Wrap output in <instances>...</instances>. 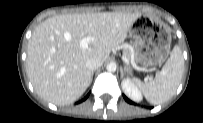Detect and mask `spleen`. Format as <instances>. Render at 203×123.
Wrapping results in <instances>:
<instances>
[{
    "label": "spleen",
    "mask_w": 203,
    "mask_h": 123,
    "mask_svg": "<svg viewBox=\"0 0 203 123\" xmlns=\"http://www.w3.org/2000/svg\"><path fill=\"white\" fill-rule=\"evenodd\" d=\"M184 72V59L180 48L174 46L169 59L154 79L141 82L134 79L146 100L151 104H161L170 99L176 92Z\"/></svg>",
    "instance_id": "obj_1"
}]
</instances>
